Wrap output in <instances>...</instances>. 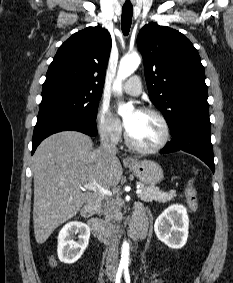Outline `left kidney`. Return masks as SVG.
Wrapping results in <instances>:
<instances>
[{"label": "left kidney", "mask_w": 233, "mask_h": 283, "mask_svg": "<svg viewBox=\"0 0 233 283\" xmlns=\"http://www.w3.org/2000/svg\"><path fill=\"white\" fill-rule=\"evenodd\" d=\"M189 218L183 205L168 207L155 221L158 239L172 249L182 248L188 238Z\"/></svg>", "instance_id": "left-kidney-1"}]
</instances>
